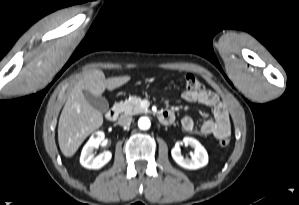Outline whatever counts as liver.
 Segmentation results:
<instances>
[{
  "instance_id": "1",
  "label": "liver",
  "mask_w": 299,
  "mask_h": 205,
  "mask_svg": "<svg viewBox=\"0 0 299 205\" xmlns=\"http://www.w3.org/2000/svg\"><path fill=\"white\" fill-rule=\"evenodd\" d=\"M130 79L127 75L106 79L103 71L98 69L79 79L67 98L58 123V142L64 156H73L87 136L103 123L102 113L89 104L83 91L101 96L106 89L114 90Z\"/></svg>"
}]
</instances>
